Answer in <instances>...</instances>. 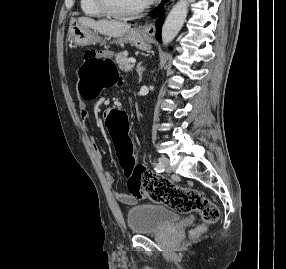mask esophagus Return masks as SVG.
Instances as JSON below:
<instances>
[{"label": "esophagus", "mask_w": 286, "mask_h": 269, "mask_svg": "<svg viewBox=\"0 0 286 269\" xmlns=\"http://www.w3.org/2000/svg\"><path fill=\"white\" fill-rule=\"evenodd\" d=\"M171 2L173 0H170ZM168 7V6H167ZM167 9V8H166ZM144 33H146L147 35L149 36H154L155 35V32H156V27L154 25V23H149V24H146L144 26H140L139 27Z\"/></svg>", "instance_id": "esophagus-1"}]
</instances>
